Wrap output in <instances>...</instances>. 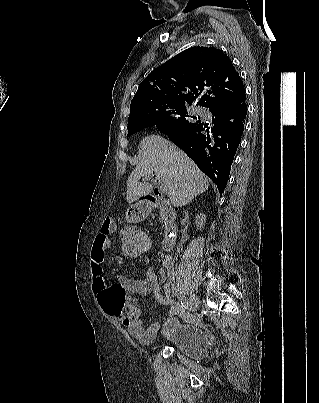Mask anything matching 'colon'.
I'll list each match as a JSON object with an SVG mask.
<instances>
[{
	"instance_id": "obj_1",
	"label": "colon",
	"mask_w": 319,
	"mask_h": 403,
	"mask_svg": "<svg viewBox=\"0 0 319 403\" xmlns=\"http://www.w3.org/2000/svg\"><path fill=\"white\" fill-rule=\"evenodd\" d=\"M124 260H141L142 254H153V234H145L144 226H125L122 234Z\"/></svg>"
}]
</instances>
